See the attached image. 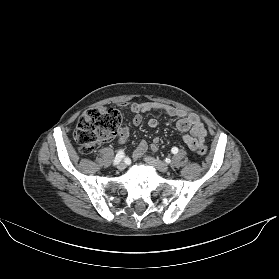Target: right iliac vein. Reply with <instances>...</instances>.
Listing matches in <instances>:
<instances>
[{"instance_id": "right-iliac-vein-1", "label": "right iliac vein", "mask_w": 279, "mask_h": 279, "mask_svg": "<svg viewBox=\"0 0 279 279\" xmlns=\"http://www.w3.org/2000/svg\"><path fill=\"white\" fill-rule=\"evenodd\" d=\"M125 168H126V164H125L124 162H119V163L117 164V169H118V170L122 171V170H124Z\"/></svg>"}]
</instances>
